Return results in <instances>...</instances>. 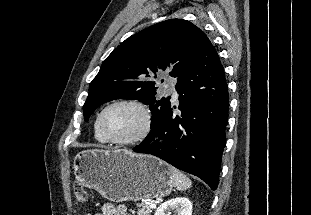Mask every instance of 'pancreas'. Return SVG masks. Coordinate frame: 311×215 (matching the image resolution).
<instances>
[{"instance_id":"cf45deb5","label":"pancreas","mask_w":311,"mask_h":215,"mask_svg":"<svg viewBox=\"0 0 311 215\" xmlns=\"http://www.w3.org/2000/svg\"><path fill=\"white\" fill-rule=\"evenodd\" d=\"M138 208L137 215H150L152 212L150 206L145 203H140L136 205Z\"/></svg>"}]
</instances>
